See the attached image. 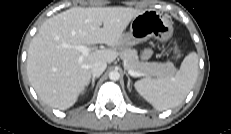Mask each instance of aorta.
<instances>
[{
  "label": "aorta",
  "mask_w": 231,
  "mask_h": 134,
  "mask_svg": "<svg viewBox=\"0 0 231 134\" xmlns=\"http://www.w3.org/2000/svg\"><path fill=\"white\" fill-rule=\"evenodd\" d=\"M119 78H120V74H119L118 71H111V72L109 73V79H110V80H112V81H117V80H119Z\"/></svg>",
  "instance_id": "obj_1"
}]
</instances>
